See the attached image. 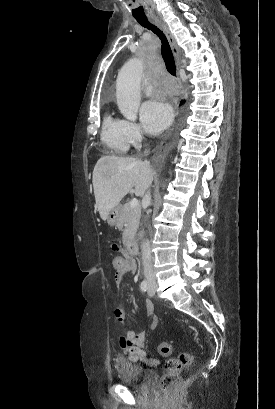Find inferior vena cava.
<instances>
[{"mask_svg": "<svg viewBox=\"0 0 275 409\" xmlns=\"http://www.w3.org/2000/svg\"><path fill=\"white\" fill-rule=\"evenodd\" d=\"M143 200H145V202H148L149 205V202L151 200L150 192H147V194H145ZM142 265L146 281H153V283H155L156 277L153 271L149 241H145V243H143L142 245Z\"/></svg>", "mask_w": 275, "mask_h": 409, "instance_id": "inferior-vena-cava-1", "label": "inferior vena cava"}]
</instances>
